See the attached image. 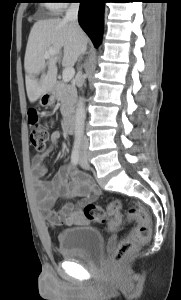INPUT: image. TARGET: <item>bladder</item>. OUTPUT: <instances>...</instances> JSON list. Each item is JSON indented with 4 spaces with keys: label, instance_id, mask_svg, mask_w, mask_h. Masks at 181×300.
I'll return each mask as SVG.
<instances>
[{
    "label": "bladder",
    "instance_id": "obj_1",
    "mask_svg": "<svg viewBox=\"0 0 181 300\" xmlns=\"http://www.w3.org/2000/svg\"><path fill=\"white\" fill-rule=\"evenodd\" d=\"M58 245L63 257L70 260L89 261L102 254L104 238L96 228L76 226L60 233Z\"/></svg>",
    "mask_w": 181,
    "mask_h": 300
}]
</instances>
